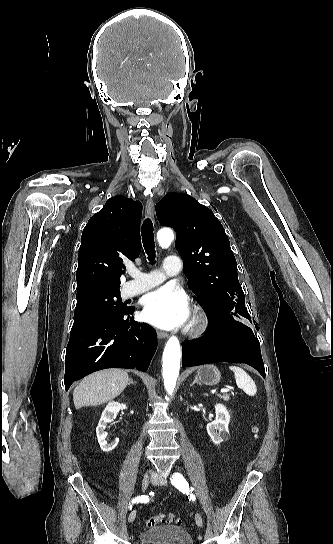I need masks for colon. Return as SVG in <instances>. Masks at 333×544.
I'll return each mask as SVG.
<instances>
[{
  "label": "colon",
  "instance_id": "1",
  "mask_svg": "<svg viewBox=\"0 0 333 544\" xmlns=\"http://www.w3.org/2000/svg\"><path fill=\"white\" fill-rule=\"evenodd\" d=\"M257 433H258V428H254V436H257ZM167 522L180 523V521L173 514H170L168 516H165V515L151 516L146 519L145 524L147 527H155L157 525L167 523Z\"/></svg>",
  "mask_w": 333,
  "mask_h": 544
}]
</instances>
